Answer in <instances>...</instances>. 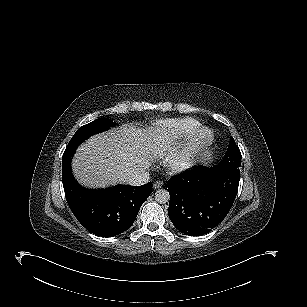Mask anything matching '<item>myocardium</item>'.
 Returning <instances> with one entry per match:
<instances>
[{
	"label": "myocardium",
	"mask_w": 307,
	"mask_h": 307,
	"mask_svg": "<svg viewBox=\"0 0 307 307\" xmlns=\"http://www.w3.org/2000/svg\"><path fill=\"white\" fill-rule=\"evenodd\" d=\"M197 132V135L195 133L194 137L183 144L176 154L162 161V166L166 170L181 173L189 170L198 162L201 153L210 144L213 134L208 127H203Z\"/></svg>",
	"instance_id": "myocardium-1"
}]
</instances>
